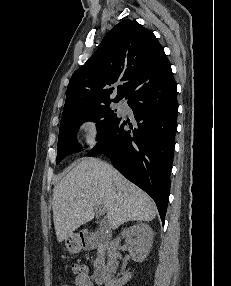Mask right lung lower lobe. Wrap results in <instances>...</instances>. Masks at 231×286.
Returning a JSON list of instances; mask_svg holds the SVG:
<instances>
[{"label": "right lung lower lobe", "instance_id": "obj_1", "mask_svg": "<svg viewBox=\"0 0 231 286\" xmlns=\"http://www.w3.org/2000/svg\"><path fill=\"white\" fill-rule=\"evenodd\" d=\"M177 87L172 71L140 81L126 93L137 125L125 131L118 118L88 156L104 154L128 180L155 201L164 224L177 129Z\"/></svg>", "mask_w": 231, "mask_h": 286}]
</instances>
